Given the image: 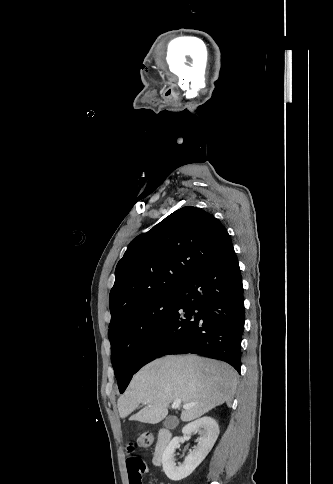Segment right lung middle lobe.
<instances>
[{"label": "right lung middle lobe", "instance_id": "1", "mask_svg": "<svg viewBox=\"0 0 333 484\" xmlns=\"http://www.w3.org/2000/svg\"><path fill=\"white\" fill-rule=\"evenodd\" d=\"M178 295L179 291L156 296L109 325L111 361L120 393L128 386L143 348L175 309Z\"/></svg>", "mask_w": 333, "mask_h": 484}]
</instances>
